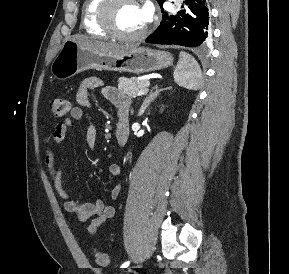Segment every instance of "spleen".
Wrapping results in <instances>:
<instances>
[{"instance_id": "obj_1", "label": "spleen", "mask_w": 289, "mask_h": 274, "mask_svg": "<svg viewBox=\"0 0 289 274\" xmlns=\"http://www.w3.org/2000/svg\"><path fill=\"white\" fill-rule=\"evenodd\" d=\"M173 75L175 82L186 89L197 90L201 85L200 66L195 58L186 52H180Z\"/></svg>"}]
</instances>
